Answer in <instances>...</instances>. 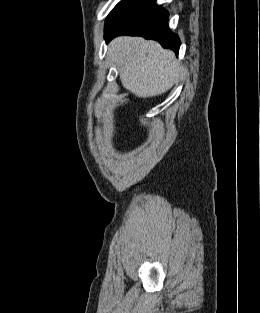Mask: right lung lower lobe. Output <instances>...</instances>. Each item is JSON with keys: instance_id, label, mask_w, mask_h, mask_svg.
<instances>
[{"instance_id": "98d812e1", "label": "right lung lower lobe", "mask_w": 260, "mask_h": 313, "mask_svg": "<svg viewBox=\"0 0 260 313\" xmlns=\"http://www.w3.org/2000/svg\"><path fill=\"white\" fill-rule=\"evenodd\" d=\"M154 3L155 0H122L106 19V41L118 35L142 36L178 54L180 40L168 28L169 13Z\"/></svg>"}]
</instances>
